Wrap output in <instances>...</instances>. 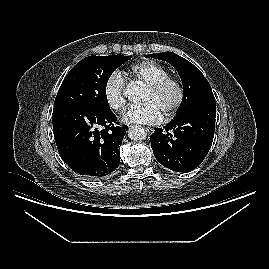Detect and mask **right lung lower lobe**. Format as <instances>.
I'll return each mask as SVG.
<instances>
[{
    "mask_svg": "<svg viewBox=\"0 0 269 269\" xmlns=\"http://www.w3.org/2000/svg\"><path fill=\"white\" fill-rule=\"evenodd\" d=\"M53 132L63 161L87 179H99L118 167L119 145L127 126H119L111 110L69 104L56 106Z\"/></svg>",
    "mask_w": 269,
    "mask_h": 269,
    "instance_id": "98d812e1",
    "label": "right lung lower lobe"
}]
</instances>
